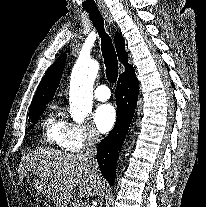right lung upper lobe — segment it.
Wrapping results in <instances>:
<instances>
[{
  "label": "right lung upper lobe",
  "mask_w": 206,
  "mask_h": 207,
  "mask_svg": "<svg viewBox=\"0 0 206 207\" xmlns=\"http://www.w3.org/2000/svg\"><path fill=\"white\" fill-rule=\"evenodd\" d=\"M124 39L120 34L115 35V46L117 54L121 63L125 66V71L130 69L132 65L128 64V55L124 49ZM66 62V54H62L56 62L47 70L45 76L42 78L35 96L32 100L30 110L49 103L59 85L62 73L64 71Z\"/></svg>",
  "instance_id": "obj_1"
}]
</instances>
